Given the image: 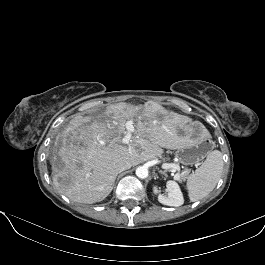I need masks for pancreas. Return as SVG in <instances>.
I'll return each mask as SVG.
<instances>
[{
	"label": "pancreas",
	"mask_w": 265,
	"mask_h": 265,
	"mask_svg": "<svg viewBox=\"0 0 265 265\" xmlns=\"http://www.w3.org/2000/svg\"><path fill=\"white\" fill-rule=\"evenodd\" d=\"M187 174H188V170L183 171L180 174L179 180H184L186 178Z\"/></svg>",
	"instance_id": "pancreas-1"
}]
</instances>
